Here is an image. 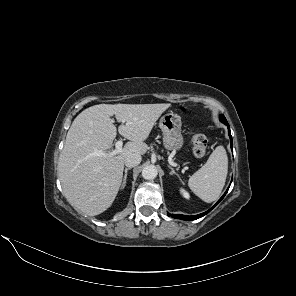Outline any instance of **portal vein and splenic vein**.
<instances>
[{
	"mask_svg": "<svg viewBox=\"0 0 296 296\" xmlns=\"http://www.w3.org/2000/svg\"><path fill=\"white\" fill-rule=\"evenodd\" d=\"M122 145H123V141L122 140H119L116 142L115 146H116V149L111 151L110 152V155H116L118 154L121 150H122ZM94 155L96 156H100V155H105L104 152H101V151H96L94 152Z\"/></svg>",
	"mask_w": 296,
	"mask_h": 296,
	"instance_id": "portal-vein-and-splenic-vein-1",
	"label": "portal vein and splenic vein"
}]
</instances>
